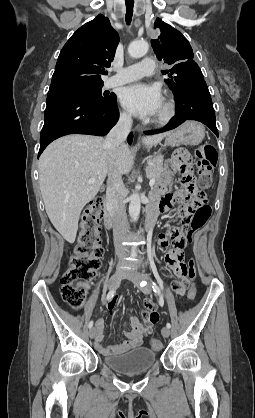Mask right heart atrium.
Listing matches in <instances>:
<instances>
[{"label":"right heart atrium","instance_id":"obj_1","mask_svg":"<svg viewBox=\"0 0 255 418\" xmlns=\"http://www.w3.org/2000/svg\"><path fill=\"white\" fill-rule=\"evenodd\" d=\"M120 119H121V121H123V122H129V121H130V116H129V114H128L127 112L122 111V112L120 113Z\"/></svg>","mask_w":255,"mask_h":418}]
</instances>
